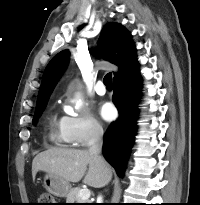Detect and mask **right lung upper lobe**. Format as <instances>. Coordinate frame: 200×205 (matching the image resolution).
Instances as JSON below:
<instances>
[{
  "label": "right lung upper lobe",
  "instance_id": "cb5924a9",
  "mask_svg": "<svg viewBox=\"0 0 200 205\" xmlns=\"http://www.w3.org/2000/svg\"><path fill=\"white\" fill-rule=\"evenodd\" d=\"M99 44L104 52L103 57L119 67L113 79L123 75L137 63L131 35L121 25L114 22L106 24L101 31ZM68 60L69 51L63 50L49 62L44 71L37 103L49 99Z\"/></svg>",
  "mask_w": 200,
  "mask_h": 205
}]
</instances>
